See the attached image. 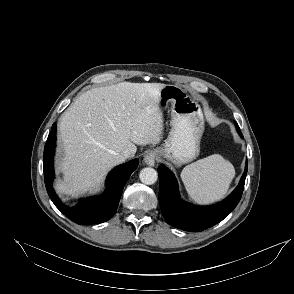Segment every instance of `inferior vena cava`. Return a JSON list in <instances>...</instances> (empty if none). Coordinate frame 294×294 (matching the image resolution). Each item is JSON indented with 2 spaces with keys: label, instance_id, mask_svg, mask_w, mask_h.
Here are the masks:
<instances>
[{
  "label": "inferior vena cava",
  "instance_id": "obj_1",
  "mask_svg": "<svg viewBox=\"0 0 294 294\" xmlns=\"http://www.w3.org/2000/svg\"><path fill=\"white\" fill-rule=\"evenodd\" d=\"M121 155H122V157H123L124 159H127V158H130V157H133V156H134V154H133L130 150H128V149L124 150V151L121 153Z\"/></svg>",
  "mask_w": 294,
  "mask_h": 294
}]
</instances>
